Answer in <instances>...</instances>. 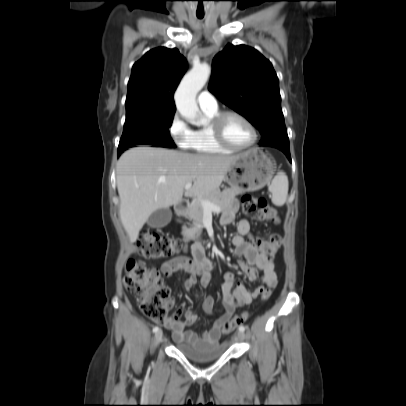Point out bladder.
Here are the masks:
<instances>
[{"label": "bladder", "mask_w": 406, "mask_h": 406, "mask_svg": "<svg viewBox=\"0 0 406 406\" xmlns=\"http://www.w3.org/2000/svg\"><path fill=\"white\" fill-rule=\"evenodd\" d=\"M178 351L185 357L200 363L211 362L225 353V346L219 344L197 347L194 345L176 342Z\"/></svg>", "instance_id": "1"}]
</instances>
